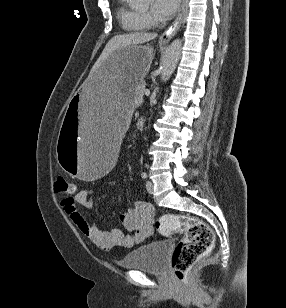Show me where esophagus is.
<instances>
[{
	"label": "esophagus",
	"instance_id": "1",
	"mask_svg": "<svg viewBox=\"0 0 286 308\" xmlns=\"http://www.w3.org/2000/svg\"><path fill=\"white\" fill-rule=\"evenodd\" d=\"M185 1L186 0H180V7L178 10L177 17L171 24V26L165 31V33L162 34L161 41L167 42L177 33L183 18Z\"/></svg>",
	"mask_w": 286,
	"mask_h": 308
}]
</instances>
